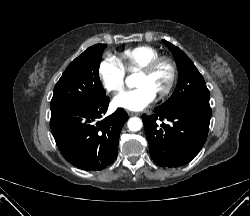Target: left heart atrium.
I'll use <instances>...</instances> for the list:
<instances>
[{"label":"left heart atrium","mask_w":250,"mask_h":216,"mask_svg":"<svg viewBox=\"0 0 250 216\" xmlns=\"http://www.w3.org/2000/svg\"><path fill=\"white\" fill-rule=\"evenodd\" d=\"M154 92L145 85L120 93L115 97L116 106L129 110H141L148 106L154 99Z\"/></svg>","instance_id":"obj_1"}]
</instances>
